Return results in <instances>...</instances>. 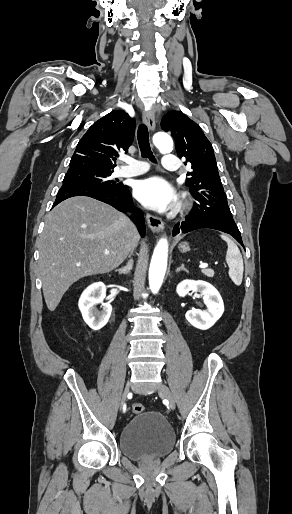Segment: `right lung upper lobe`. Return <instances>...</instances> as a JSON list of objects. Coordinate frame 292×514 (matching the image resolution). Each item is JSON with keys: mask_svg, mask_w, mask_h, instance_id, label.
Wrapping results in <instances>:
<instances>
[{"mask_svg": "<svg viewBox=\"0 0 292 514\" xmlns=\"http://www.w3.org/2000/svg\"><path fill=\"white\" fill-rule=\"evenodd\" d=\"M135 133V120L115 110L96 121L79 141L68 172L113 171L116 157L127 153Z\"/></svg>", "mask_w": 292, "mask_h": 514, "instance_id": "1", "label": "right lung upper lobe"}]
</instances>
